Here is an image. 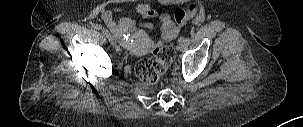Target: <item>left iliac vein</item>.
Wrapping results in <instances>:
<instances>
[{"label":"left iliac vein","instance_id":"left-iliac-vein-1","mask_svg":"<svg viewBox=\"0 0 303 127\" xmlns=\"http://www.w3.org/2000/svg\"><path fill=\"white\" fill-rule=\"evenodd\" d=\"M187 47L188 44L186 43V40L183 37H181L178 41L177 49L183 52L187 49Z\"/></svg>","mask_w":303,"mask_h":127}]
</instances>
